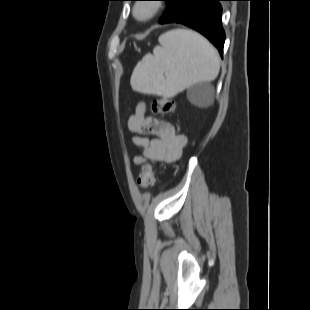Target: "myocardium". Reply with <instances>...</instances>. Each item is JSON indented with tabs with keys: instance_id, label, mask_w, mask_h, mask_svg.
Wrapping results in <instances>:
<instances>
[{
	"instance_id": "myocardium-1",
	"label": "myocardium",
	"mask_w": 310,
	"mask_h": 310,
	"mask_svg": "<svg viewBox=\"0 0 310 310\" xmlns=\"http://www.w3.org/2000/svg\"><path fill=\"white\" fill-rule=\"evenodd\" d=\"M159 11L157 4L143 3L134 7V16L141 21H147L153 18Z\"/></svg>"
}]
</instances>
